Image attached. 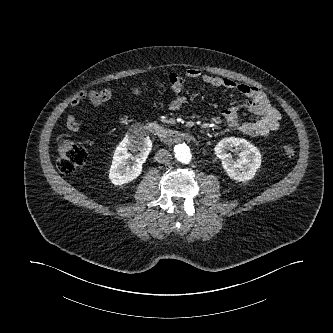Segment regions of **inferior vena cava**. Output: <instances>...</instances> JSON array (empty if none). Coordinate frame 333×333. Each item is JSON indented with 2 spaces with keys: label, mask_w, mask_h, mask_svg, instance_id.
Wrapping results in <instances>:
<instances>
[{
  "label": "inferior vena cava",
  "mask_w": 333,
  "mask_h": 333,
  "mask_svg": "<svg viewBox=\"0 0 333 333\" xmlns=\"http://www.w3.org/2000/svg\"><path fill=\"white\" fill-rule=\"evenodd\" d=\"M171 159V154L168 150L161 149L155 154V160L158 163H167Z\"/></svg>",
  "instance_id": "inferior-vena-cava-1"
}]
</instances>
